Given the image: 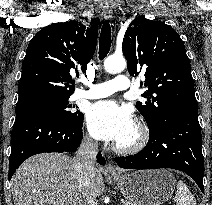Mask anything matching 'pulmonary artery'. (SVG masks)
Listing matches in <instances>:
<instances>
[{"instance_id":"obj_1","label":"pulmonary artery","mask_w":212,"mask_h":205,"mask_svg":"<svg viewBox=\"0 0 212 205\" xmlns=\"http://www.w3.org/2000/svg\"><path fill=\"white\" fill-rule=\"evenodd\" d=\"M87 89H79L76 91L77 98L98 99L107 97L117 91L126 90L130 87L129 78L126 75H117L115 78L102 83H92L83 80Z\"/></svg>"}]
</instances>
